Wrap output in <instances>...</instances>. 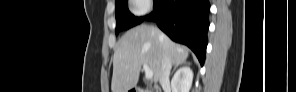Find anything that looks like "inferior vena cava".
<instances>
[{
	"label": "inferior vena cava",
	"mask_w": 296,
	"mask_h": 92,
	"mask_svg": "<svg viewBox=\"0 0 296 92\" xmlns=\"http://www.w3.org/2000/svg\"><path fill=\"white\" fill-rule=\"evenodd\" d=\"M171 60L168 56H165L162 60V73L159 79V82L162 86H165L169 83V76L171 71Z\"/></svg>",
	"instance_id": "602c4592"
}]
</instances>
